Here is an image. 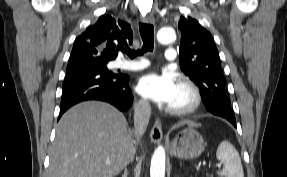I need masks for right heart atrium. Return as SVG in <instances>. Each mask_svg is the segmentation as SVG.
Masks as SVG:
<instances>
[{"label": "right heart atrium", "mask_w": 287, "mask_h": 177, "mask_svg": "<svg viewBox=\"0 0 287 177\" xmlns=\"http://www.w3.org/2000/svg\"><path fill=\"white\" fill-rule=\"evenodd\" d=\"M146 107H147V104H146L144 101H140V102H139V108H140L141 110H145Z\"/></svg>", "instance_id": "d8ad5b80"}]
</instances>
